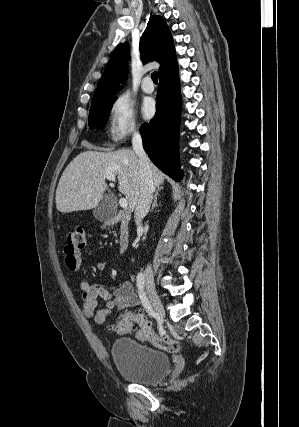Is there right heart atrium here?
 <instances>
[{"label": "right heart atrium", "mask_w": 299, "mask_h": 427, "mask_svg": "<svg viewBox=\"0 0 299 427\" xmlns=\"http://www.w3.org/2000/svg\"><path fill=\"white\" fill-rule=\"evenodd\" d=\"M136 131L134 101L126 92H120L108 105L109 138L114 142H120Z\"/></svg>", "instance_id": "right-heart-atrium-1"}]
</instances>
